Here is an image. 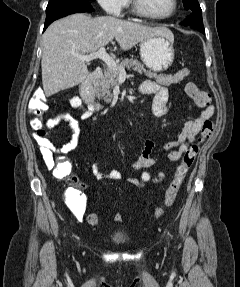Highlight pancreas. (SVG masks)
<instances>
[{
  "instance_id": "pancreas-1",
  "label": "pancreas",
  "mask_w": 240,
  "mask_h": 287,
  "mask_svg": "<svg viewBox=\"0 0 240 287\" xmlns=\"http://www.w3.org/2000/svg\"><path fill=\"white\" fill-rule=\"evenodd\" d=\"M118 67L124 69L125 68L132 69L139 73H144L147 77L154 78L158 83L166 86L179 83L190 73L187 69H183L173 76L158 75L157 73L146 70L141 62L133 58L124 59L118 64ZM118 77H119L118 70H114L111 67H107L104 70L103 77L99 80L98 85L95 88L97 97L103 99L106 103H111L114 99L111 90L117 84Z\"/></svg>"
}]
</instances>
